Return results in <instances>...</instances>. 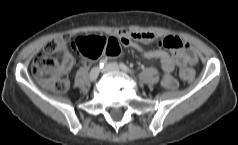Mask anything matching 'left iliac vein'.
I'll return each instance as SVG.
<instances>
[{"label": "left iliac vein", "mask_w": 238, "mask_h": 145, "mask_svg": "<svg viewBox=\"0 0 238 145\" xmlns=\"http://www.w3.org/2000/svg\"><path fill=\"white\" fill-rule=\"evenodd\" d=\"M120 70V66L116 63H109L103 69L104 72H120Z\"/></svg>", "instance_id": "obj_1"}]
</instances>
